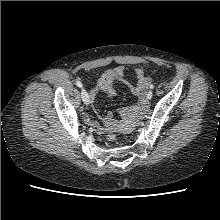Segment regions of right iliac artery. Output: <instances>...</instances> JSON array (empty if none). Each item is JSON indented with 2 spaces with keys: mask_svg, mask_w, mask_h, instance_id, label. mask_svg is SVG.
I'll return each mask as SVG.
<instances>
[{
  "mask_svg": "<svg viewBox=\"0 0 220 220\" xmlns=\"http://www.w3.org/2000/svg\"><path fill=\"white\" fill-rule=\"evenodd\" d=\"M76 85L80 88H82V83L79 80H76Z\"/></svg>",
  "mask_w": 220,
  "mask_h": 220,
  "instance_id": "obj_1",
  "label": "right iliac artery"
}]
</instances>
